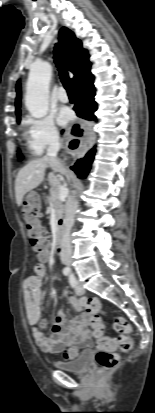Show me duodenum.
<instances>
[{"label":"duodenum","instance_id":"duodenum-1","mask_svg":"<svg viewBox=\"0 0 155 413\" xmlns=\"http://www.w3.org/2000/svg\"><path fill=\"white\" fill-rule=\"evenodd\" d=\"M64 223L60 222L56 230V250L58 255L63 254Z\"/></svg>","mask_w":155,"mask_h":413}]
</instances>
